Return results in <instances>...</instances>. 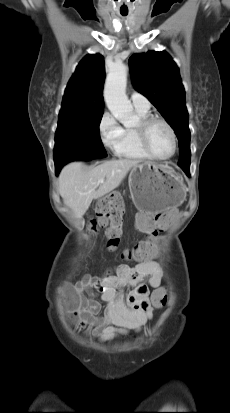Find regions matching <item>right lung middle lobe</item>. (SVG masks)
<instances>
[{"instance_id":"1","label":"right lung middle lobe","mask_w":230,"mask_h":413,"mask_svg":"<svg viewBox=\"0 0 230 413\" xmlns=\"http://www.w3.org/2000/svg\"><path fill=\"white\" fill-rule=\"evenodd\" d=\"M102 115L87 119H61L55 133V165L75 160L104 158L107 153L100 139Z\"/></svg>"}]
</instances>
